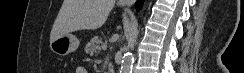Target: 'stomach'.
Returning a JSON list of instances; mask_svg holds the SVG:
<instances>
[{"instance_id": "stomach-1", "label": "stomach", "mask_w": 244, "mask_h": 73, "mask_svg": "<svg viewBox=\"0 0 244 73\" xmlns=\"http://www.w3.org/2000/svg\"><path fill=\"white\" fill-rule=\"evenodd\" d=\"M80 41L72 34H66L50 43V49L53 53L59 56H65L76 51L79 47Z\"/></svg>"}]
</instances>
